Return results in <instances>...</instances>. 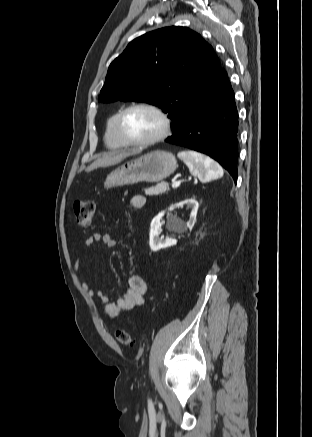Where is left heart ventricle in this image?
<instances>
[{
	"label": "left heart ventricle",
	"mask_w": 312,
	"mask_h": 437,
	"mask_svg": "<svg viewBox=\"0 0 312 437\" xmlns=\"http://www.w3.org/2000/svg\"><path fill=\"white\" fill-rule=\"evenodd\" d=\"M162 123L160 118L151 110L136 108L124 118L123 128L126 134L135 140H144L158 134Z\"/></svg>",
	"instance_id": "b2bd125f"
}]
</instances>
